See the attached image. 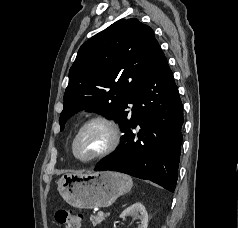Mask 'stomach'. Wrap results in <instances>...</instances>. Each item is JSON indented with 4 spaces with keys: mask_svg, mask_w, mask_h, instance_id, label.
<instances>
[{
    "mask_svg": "<svg viewBox=\"0 0 238 228\" xmlns=\"http://www.w3.org/2000/svg\"><path fill=\"white\" fill-rule=\"evenodd\" d=\"M132 179L113 171L66 173L58 181V191L63 199L79 209L108 207L130 191Z\"/></svg>",
    "mask_w": 238,
    "mask_h": 228,
    "instance_id": "1",
    "label": "stomach"
}]
</instances>
